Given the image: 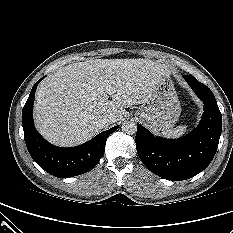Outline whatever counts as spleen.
I'll return each mask as SVG.
<instances>
[{
    "label": "spleen",
    "instance_id": "1",
    "mask_svg": "<svg viewBox=\"0 0 233 233\" xmlns=\"http://www.w3.org/2000/svg\"><path fill=\"white\" fill-rule=\"evenodd\" d=\"M187 126H179L162 132L160 135L166 138H179L187 132Z\"/></svg>",
    "mask_w": 233,
    "mask_h": 233
}]
</instances>
